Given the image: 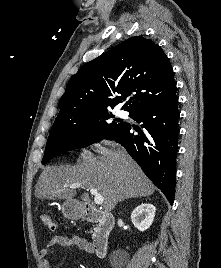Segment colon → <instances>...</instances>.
<instances>
[{"label": "colon", "mask_w": 221, "mask_h": 268, "mask_svg": "<svg viewBox=\"0 0 221 268\" xmlns=\"http://www.w3.org/2000/svg\"><path fill=\"white\" fill-rule=\"evenodd\" d=\"M40 219L42 221V223L50 230H54L55 229V223L53 222L51 216L49 215V213L43 211L40 214Z\"/></svg>", "instance_id": "5ec220e1"}]
</instances>
